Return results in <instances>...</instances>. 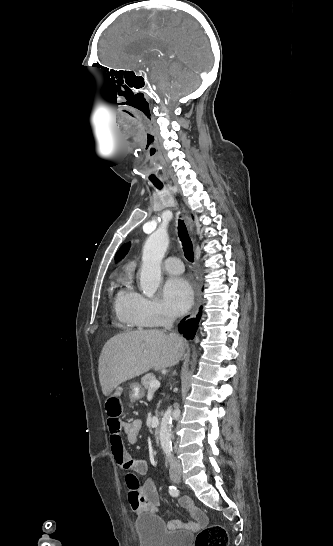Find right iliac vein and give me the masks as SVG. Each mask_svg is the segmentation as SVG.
I'll list each match as a JSON object with an SVG mask.
<instances>
[{
    "label": "right iliac vein",
    "instance_id": "right-iliac-vein-1",
    "mask_svg": "<svg viewBox=\"0 0 333 546\" xmlns=\"http://www.w3.org/2000/svg\"><path fill=\"white\" fill-rule=\"evenodd\" d=\"M171 479H172L173 481L179 480V479H180V474L177 473V472H173L172 475H171Z\"/></svg>",
    "mask_w": 333,
    "mask_h": 546
}]
</instances>
